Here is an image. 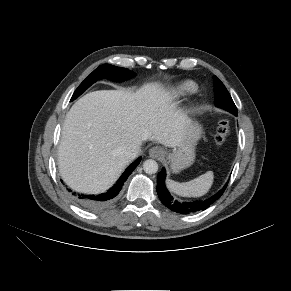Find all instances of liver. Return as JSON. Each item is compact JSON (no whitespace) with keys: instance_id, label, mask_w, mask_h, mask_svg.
<instances>
[{"instance_id":"liver-1","label":"liver","mask_w":291,"mask_h":291,"mask_svg":"<svg viewBox=\"0 0 291 291\" xmlns=\"http://www.w3.org/2000/svg\"><path fill=\"white\" fill-rule=\"evenodd\" d=\"M169 92L147 84L136 92L100 90L77 100L66 115L58 150L63 180L74 190L100 193L114 184L133 160L132 143L156 141L179 146L189 125Z\"/></svg>"}]
</instances>
